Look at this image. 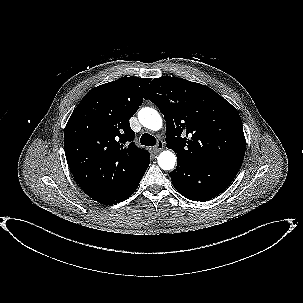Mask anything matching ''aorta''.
<instances>
[{"mask_svg": "<svg viewBox=\"0 0 303 303\" xmlns=\"http://www.w3.org/2000/svg\"><path fill=\"white\" fill-rule=\"evenodd\" d=\"M140 123L153 131H157L162 127V118L160 114L153 108H142L138 113ZM176 156L173 152L165 150L158 156V164L163 170H172L176 163Z\"/></svg>", "mask_w": 303, "mask_h": 303, "instance_id": "1", "label": "aorta"}]
</instances>
